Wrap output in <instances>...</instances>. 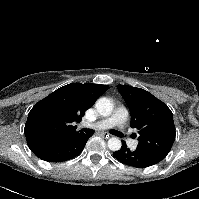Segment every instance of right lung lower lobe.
Masks as SVG:
<instances>
[{"mask_svg": "<svg viewBox=\"0 0 199 199\" xmlns=\"http://www.w3.org/2000/svg\"><path fill=\"white\" fill-rule=\"evenodd\" d=\"M91 135L83 132L60 141L38 143L30 146L31 151L40 159L48 162H61L79 155Z\"/></svg>", "mask_w": 199, "mask_h": 199, "instance_id": "1", "label": "right lung lower lobe"}]
</instances>
